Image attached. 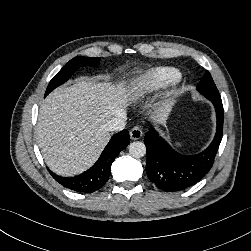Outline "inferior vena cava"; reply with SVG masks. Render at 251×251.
<instances>
[{"mask_svg": "<svg viewBox=\"0 0 251 251\" xmlns=\"http://www.w3.org/2000/svg\"><path fill=\"white\" fill-rule=\"evenodd\" d=\"M109 131L119 132L126 126V113L122 112L107 123Z\"/></svg>", "mask_w": 251, "mask_h": 251, "instance_id": "obj_1", "label": "inferior vena cava"}]
</instances>
